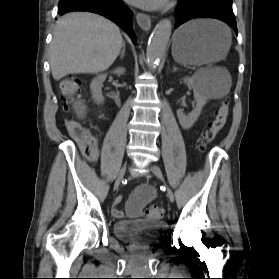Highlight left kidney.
<instances>
[{
  "label": "left kidney",
  "instance_id": "obj_1",
  "mask_svg": "<svg viewBox=\"0 0 279 279\" xmlns=\"http://www.w3.org/2000/svg\"><path fill=\"white\" fill-rule=\"evenodd\" d=\"M183 81L184 83L192 86L194 91V98L196 101V107L188 115L184 114L182 110H177L179 123L183 129L187 130L193 126L195 121L200 116L202 108L207 103L208 98L200 91L199 82L196 77H185Z\"/></svg>",
  "mask_w": 279,
  "mask_h": 279
}]
</instances>
